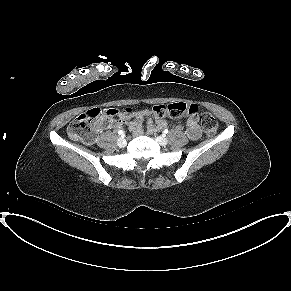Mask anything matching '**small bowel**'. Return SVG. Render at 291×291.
<instances>
[{
    "instance_id": "c3829d8e",
    "label": "small bowel",
    "mask_w": 291,
    "mask_h": 291,
    "mask_svg": "<svg viewBox=\"0 0 291 291\" xmlns=\"http://www.w3.org/2000/svg\"><path fill=\"white\" fill-rule=\"evenodd\" d=\"M146 112H136L131 115H120L118 119H113L104 124V127H119L123 124H127L128 128L133 132L135 136H139L142 133L141 120L145 116ZM186 121V134L190 140H198L201 136V129L197 115H187ZM166 126V121L163 118H157L156 122L148 121L147 132L154 133Z\"/></svg>"
}]
</instances>
